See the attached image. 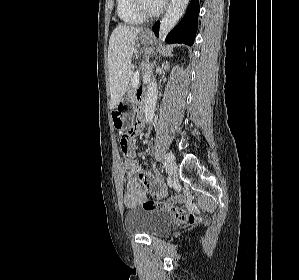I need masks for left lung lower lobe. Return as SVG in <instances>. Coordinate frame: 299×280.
<instances>
[{"label":"left lung lower lobe","instance_id":"0a47b994","mask_svg":"<svg viewBox=\"0 0 299 280\" xmlns=\"http://www.w3.org/2000/svg\"><path fill=\"white\" fill-rule=\"evenodd\" d=\"M199 15V0H191L186 15L181 22L168 34L166 42L168 43H185L193 45ZM160 23H156L152 29L154 33L159 35Z\"/></svg>","mask_w":299,"mask_h":280}]
</instances>
